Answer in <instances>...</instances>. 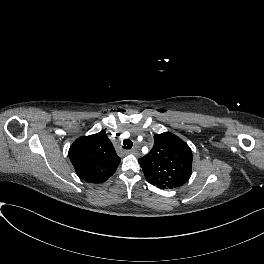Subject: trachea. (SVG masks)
<instances>
[{"label": "trachea", "mask_w": 264, "mask_h": 264, "mask_svg": "<svg viewBox=\"0 0 264 264\" xmlns=\"http://www.w3.org/2000/svg\"><path fill=\"white\" fill-rule=\"evenodd\" d=\"M132 146H133V143H132V141H131L130 139H125V140L123 141V145H122V147H123L124 149H131Z\"/></svg>", "instance_id": "1"}]
</instances>
